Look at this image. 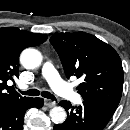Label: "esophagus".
<instances>
[{
	"instance_id": "1",
	"label": "esophagus",
	"mask_w": 130,
	"mask_h": 130,
	"mask_svg": "<svg viewBox=\"0 0 130 130\" xmlns=\"http://www.w3.org/2000/svg\"><path fill=\"white\" fill-rule=\"evenodd\" d=\"M44 105L46 107H48V108H51V107H54L56 105V102L48 100V99H45L44 100Z\"/></svg>"
}]
</instances>
